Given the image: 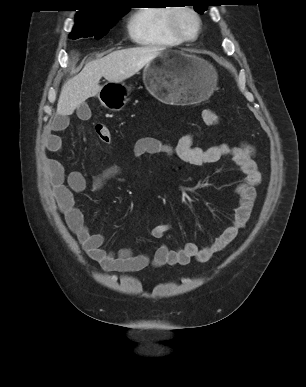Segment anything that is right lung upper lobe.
I'll list each match as a JSON object with an SVG mask.
<instances>
[{
	"label": "right lung upper lobe",
	"mask_w": 306,
	"mask_h": 387,
	"mask_svg": "<svg viewBox=\"0 0 306 387\" xmlns=\"http://www.w3.org/2000/svg\"><path fill=\"white\" fill-rule=\"evenodd\" d=\"M84 6L85 8L77 13L76 18H105L126 10L122 0H84Z\"/></svg>",
	"instance_id": "1"
}]
</instances>
